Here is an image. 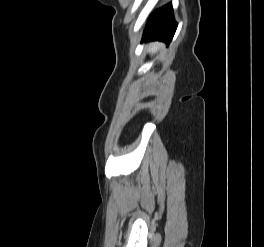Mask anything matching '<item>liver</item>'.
Segmentation results:
<instances>
[{"instance_id":"6515ba94","label":"liver","mask_w":264,"mask_h":247,"mask_svg":"<svg viewBox=\"0 0 264 247\" xmlns=\"http://www.w3.org/2000/svg\"><path fill=\"white\" fill-rule=\"evenodd\" d=\"M160 47H161V44L158 42L151 43L149 47V53L151 54L156 53L160 49Z\"/></svg>"}]
</instances>
